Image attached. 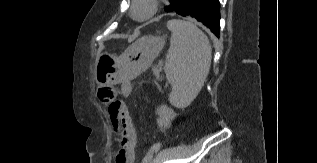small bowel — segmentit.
<instances>
[{"label": "small bowel", "mask_w": 317, "mask_h": 163, "mask_svg": "<svg viewBox=\"0 0 317 163\" xmlns=\"http://www.w3.org/2000/svg\"><path fill=\"white\" fill-rule=\"evenodd\" d=\"M121 87L125 95H128L131 92L132 86L130 82L122 81ZM110 118L116 129L111 116ZM117 131L119 133L118 143L120 147L115 155V163H132L136 148V134L128 113H125L122 127Z\"/></svg>", "instance_id": "1"}]
</instances>
